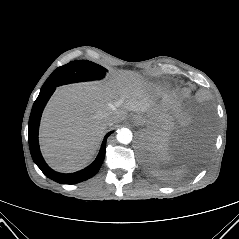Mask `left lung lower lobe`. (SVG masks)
Here are the masks:
<instances>
[{
	"instance_id": "left-lung-lower-lobe-1",
	"label": "left lung lower lobe",
	"mask_w": 239,
	"mask_h": 239,
	"mask_svg": "<svg viewBox=\"0 0 239 239\" xmlns=\"http://www.w3.org/2000/svg\"><path fill=\"white\" fill-rule=\"evenodd\" d=\"M165 147L166 145L162 141L149 138L143 140L141 151L145 161L151 166L158 165L166 149Z\"/></svg>"
}]
</instances>
